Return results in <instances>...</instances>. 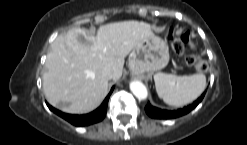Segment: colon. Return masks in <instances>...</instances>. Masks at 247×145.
Masks as SVG:
<instances>
[{"mask_svg":"<svg viewBox=\"0 0 247 145\" xmlns=\"http://www.w3.org/2000/svg\"><path fill=\"white\" fill-rule=\"evenodd\" d=\"M169 38L172 39L173 49L177 54H179L184 61L197 70L205 72L208 69L207 62L198 59L194 54L193 50L195 49L194 44L191 41L190 34L188 32L184 33L178 38H174L173 32H169Z\"/></svg>","mask_w":247,"mask_h":145,"instance_id":"obj_1","label":"colon"}]
</instances>
